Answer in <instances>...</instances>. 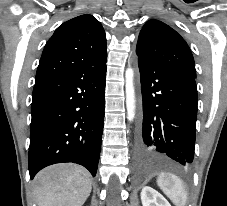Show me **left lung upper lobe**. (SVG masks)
<instances>
[{
    "instance_id": "5c2ea615",
    "label": "left lung upper lobe",
    "mask_w": 227,
    "mask_h": 206,
    "mask_svg": "<svg viewBox=\"0 0 227 206\" xmlns=\"http://www.w3.org/2000/svg\"><path fill=\"white\" fill-rule=\"evenodd\" d=\"M136 54L138 60L196 77L194 59L187 43L179 33L161 21L146 22L139 34Z\"/></svg>"
}]
</instances>
